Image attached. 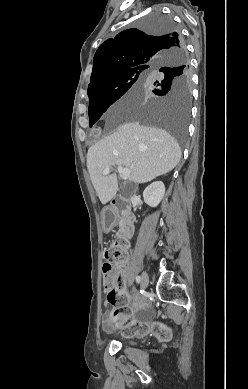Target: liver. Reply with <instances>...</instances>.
Returning a JSON list of instances; mask_svg holds the SVG:
<instances>
[{
	"label": "liver",
	"instance_id": "1",
	"mask_svg": "<svg viewBox=\"0 0 248 389\" xmlns=\"http://www.w3.org/2000/svg\"><path fill=\"white\" fill-rule=\"evenodd\" d=\"M137 89H132L122 103L137 104ZM181 159L177 141L165 130L126 122L117 130L92 145L87 153V169L102 204L115 197L118 190L116 173L103 175L105 168L124 166L130 169V181L141 184L170 172Z\"/></svg>",
	"mask_w": 248,
	"mask_h": 389
}]
</instances>
